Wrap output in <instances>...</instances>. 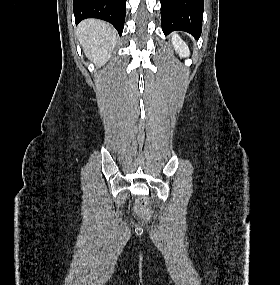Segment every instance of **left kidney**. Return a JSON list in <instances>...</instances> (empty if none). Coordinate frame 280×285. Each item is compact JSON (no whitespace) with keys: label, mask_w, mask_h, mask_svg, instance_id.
<instances>
[{"label":"left kidney","mask_w":280,"mask_h":285,"mask_svg":"<svg viewBox=\"0 0 280 285\" xmlns=\"http://www.w3.org/2000/svg\"><path fill=\"white\" fill-rule=\"evenodd\" d=\"M172 42L175 49L178 51L180 56L187 57L190 54L189 48L186 43L176 34L172 36Z\"/></svg>","instance_id":"1"}]
</instances>
